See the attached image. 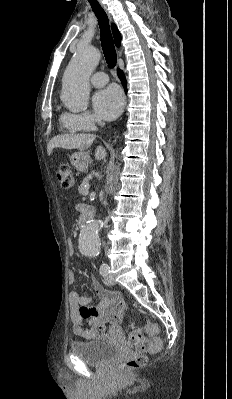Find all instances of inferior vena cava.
I'll return each instance as SVG.
<instances>
[{
  "label": "inferior vena cava",
  "mask_w": 232,
  "mask_h": 399,
  "mask_svg": "<svg viewBox=\"0 0 232 399\" xmlns=\"http://www.w3.org/2000/svg\"><path fill=\"white\" fill-rule=\"evenodd\" d=\"M98 124L99 126H104L103 122H101V120H98Z\"/></svg>",
  "instance_id": "602c4592"
}]
</instances>
